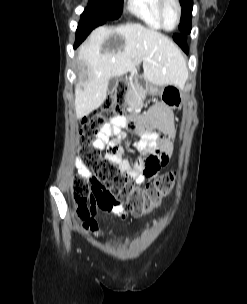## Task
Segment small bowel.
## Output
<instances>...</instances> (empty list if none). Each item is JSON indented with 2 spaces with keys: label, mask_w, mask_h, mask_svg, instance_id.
<instances>
[{
  "label": "small bowel",
  "mask_w": 247,
  "mask_h": 304,
  "mask_svg": "<svg viewBox=\"0 0 247 304\" xmlns=\"http://www.w3.org/2000/svg\"><path fill=\"white\" fill-rule=\"evenodd\" d=\"M146 116L147 123H142L140 120H127L124 116L119 115L106 123L95 139V145L100 150L106 148L104 162L118 165L121 172L136 186L142 185L146 178L153 177L161 167L168 164L173 154L172 141L175 137V129L171 110L164 104H156ZM148 124L151 126L150 128ZM125 128L130 130L131 137H141L140 141L136 143L138 149L130 152V155L128 152H121L125 151L126 147L125 144L118 143L120 138L127 135V132L123 130ZM157 129L162 135L156 132ZM155 158L158 165L156 168H150L147 159ZM75 166L80 176L84 177L93 187L100 189L98 179L80 157L75 159ZM97 208L122 218L126 215L124 207L107 195H103L101 200L95 203L93 215L96 214ZM84 227L90 232H99L94 219L84 224Z\"/></svg>",
  "instance_id": "small-bowel-1"
}]
</instances>
